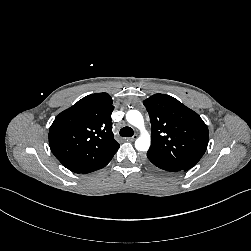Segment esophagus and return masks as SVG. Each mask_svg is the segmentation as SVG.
Instances as JSON below:
<instances>
[{
    "instance_id": "34e87169",
    "label": "esophagus",
    "mask_w": 251,
    "mask_h": 251,
    "mask_svg": "<svg viewBox=\"0 0 251 251\" xmlns=\"http://www.w3.org/2000/svg\"><path fill=\"white\" fill-rule=\"evenodd\" d=\"M137 138V134L133 135L132 137H128V141H134Z\"/></svg>"
}]
</instances>
